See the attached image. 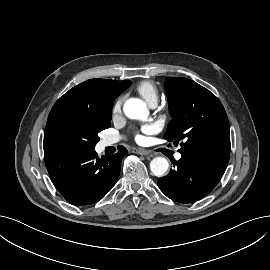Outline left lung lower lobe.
<instances>
[{"instance_id":"obj_1","label":"left lung lower lobe","mask_w":270,"mask_h":270,"mask_svg":"<svg viewBox=\"0 0 270 270\" xmlns=\"http://www.w3.org/2000/svg\"><path fill=\"white\" fill-rule=\"evenodd\" d=\"M229 158L217 154L181 153L175 169L160 178V190L180 203L198 201L208 195L220 181Z\"/></svg>"}]
</instances>
